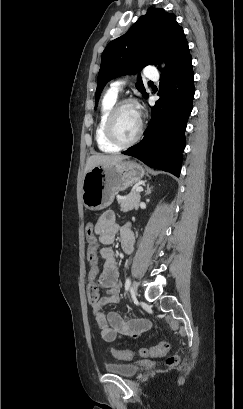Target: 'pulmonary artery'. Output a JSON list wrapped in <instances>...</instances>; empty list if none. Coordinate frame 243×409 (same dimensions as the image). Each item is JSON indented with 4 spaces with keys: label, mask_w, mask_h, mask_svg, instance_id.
Listing matches in <instances>:
<instances>
[{
    "label": "pulmonary artery",
    "mask_w": 243,
    "mask_h": 409,
    "mask_svg": "<svg viewBox=\"0 0 243 409\" xmlns=\"http://www.w3.org/2000/svg\"><path fill=\"white\" fill-rule=\"evenodd\" d=\"M143 75L146 79H150L154 81L159 79L158 72L154 69L145 70ZM124 84H125V80L114 81L110 84L109 91L118 95L122 91Z\"/></svg>",
    "instance_id": "1"
}]
</instances>
